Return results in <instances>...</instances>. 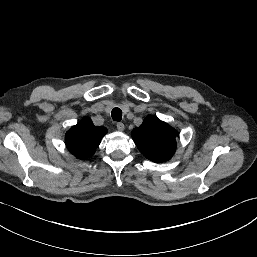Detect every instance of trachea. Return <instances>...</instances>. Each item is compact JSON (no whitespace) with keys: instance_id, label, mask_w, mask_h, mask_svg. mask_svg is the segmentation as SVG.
I'll list each match as a JSON object with an SVG mask.
<instances>
[{"instance_id":"obj_1","label":"trachea","mask_w":257,"mask_h":257,"mask_svg":"<svg viewBox=\"0 0 257 257\" xmlns=\"http://www.w3.org/2000/svg\"><path fill=\"white\" fill-rule=\"evenodd\" d=\"M111 115H112V119L115 121H121L122 119V111L118 107H115L112 110Z\"/></svg>"}]
</instances>
